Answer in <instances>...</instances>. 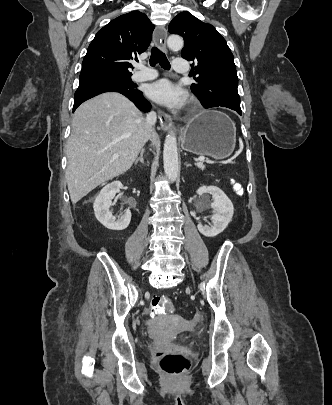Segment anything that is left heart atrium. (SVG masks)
<instances>
[{"label": "left heart atrium", "mask_w": 332, "mask_h": 405, "mask_svg": "<svg viewBox=\"0 0 332 405\" xmlns=\"http://www.w3.org/2000/svg\"><path fill=\"white\" fill-rule=\"evenodd\" d=\"M147 95L152 100L171 108L181 107L186 100L185 92L166 79L159 80L149 85Z\"/></svg>", "instance_id": "39dd6f15"}]
</instances>
